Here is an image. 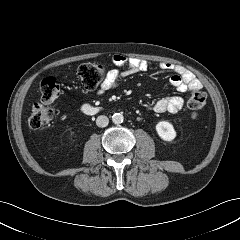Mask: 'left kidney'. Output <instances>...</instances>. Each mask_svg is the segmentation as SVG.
<instances>
[{"label":"left kidney","mask_w":240,"mask_h":240,"mask_svg":"<svg viewBox=\"0 0 240 240\" xmlns=\"http://www.w3.org/2000/svg\"><path fill=\"white\" fill-rule=\"evenodd\" d=\"M156 131L164 141H172L176 137L173 125L167 121H160L156 125Z\"/></svg>","instance_id":"obj_1"}]
</instances>
